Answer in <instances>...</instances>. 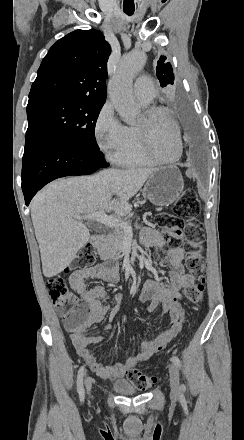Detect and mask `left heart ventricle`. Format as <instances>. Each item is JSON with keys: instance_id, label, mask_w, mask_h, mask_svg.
<instances>
[{"instance_id": "obj_1", "label": "left heart ventricle", "mask_w": 244, "mask_h": 440, "mask_svg": "<svg viewBox=\"0 0 244 440\" xmlns=\"http://www.w3.org/2000/svg\"><path fill=\"white\" fill-rule=\"evenodd\" d=\"M164 115H157L154 119V124H149V135L147 143L149 146H154L155 151H160L163 158H171L175 154L176 134L169 123L165 122ZM144 117L141 114L140 118L135 123L139 125L143 122Z\"/></svg>"}]
</instances>
